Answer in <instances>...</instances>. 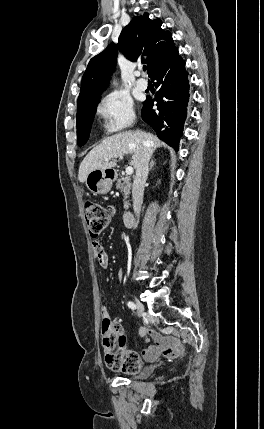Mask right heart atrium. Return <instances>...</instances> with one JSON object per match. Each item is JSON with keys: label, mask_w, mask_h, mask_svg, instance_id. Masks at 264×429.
<instances>
[{"label": "right heart atrium", "mask_w": 264, "mask_h": 429, "mask_svg": "<svg viewBox=\"0 0 264 429\" xmlns=\"http://www.w3.org/2000/svg\"><path fill=\"white\" fill-rule=\"evenodd\" d=\"M97 113L103 128L109 133L122 131L135 121L132 100L120 92L103 96L97 105Z\"/></svg>", "instance_id": "obj_1"}]
</instances>
